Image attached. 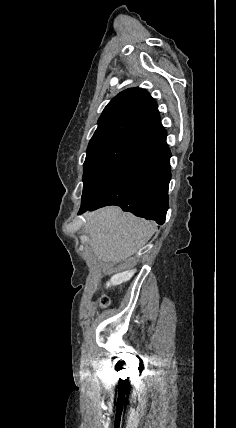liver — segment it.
<instances>
[{
    "instance_id": "obj_1",
    "label": "liver",
    "mask_w": 236,
    "mask_h": 428,
    "mask_svg": "<svg viewBox=\"0 0 236 428\" xmlns=\"http://www.w3.org/2000/svg\"><path fill=\"white\" fill-rule=\"evenodd\" d=\"M86 220L89 246L102 262H123L134 256L152 238L156 226L116 206L87 212Z\"/></svg>"
}]
</instances>
